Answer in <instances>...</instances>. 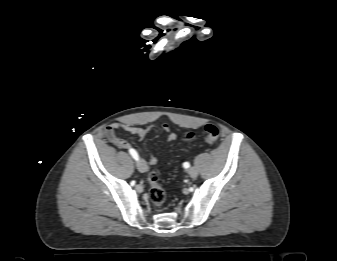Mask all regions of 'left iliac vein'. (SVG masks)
<instances>
[{
    "mask_svg": "<svg viewBox=\"0 0 337 261\" xmlns=\"http://www.w3.org/2000/svg\"><path fill=\"white\" fill-rule=\"evenodd\" d=\"M188 174L191 178H196L198 176V170L192 167L188 170Z\"/></svg>",
    "mask_w": 337,
    "mask_h": 261,
    "instance_id": "1",
    "label": "left iliac vein"
}]
</instances>
